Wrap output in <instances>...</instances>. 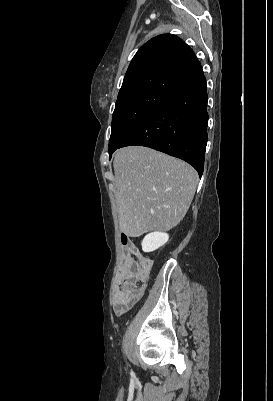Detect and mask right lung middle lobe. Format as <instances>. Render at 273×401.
Wrapping results in <instances>:
<instances>
[{
  "label": "right lung middle lobe",
  "instance_id": "obj_1",
  "mask_svg": "<svg viewBox=\"0 0 273 401\" xmlns=\"http://www.w3.org/2000/svg\"><path fill=\"white\" fill-rule=\"evenodd\" d=\"M165 97V94L156 92H141L117 99L109 140V155L120 147Z\"/></svg>",
  "mask_w": 273,
  "mask_h": 401
}]
</instances>
